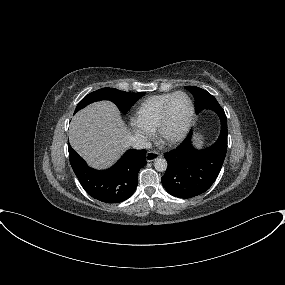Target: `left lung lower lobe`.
Masks as SVG:
<instances>
[{"instance_id":"left-lung-lower-lobe-1","label":"left lung lower lobe","mask_w":285,"mask_h":285,"mask_svg":"<svg viewBox=\"0 0 285 285\" xmlns=\"http://www.w3.org/2000/svg\"><path fill=\"white\" fill-rule=\"evenodd\" d=\"M218 114L221 132L209 148L198 150L192 144V133L174 150L164 154L168 162L162 185L171 195L191 198L207 191L216 180L227 151V118L220 105L208 108Z\"/></svg>"}]
</instances>
